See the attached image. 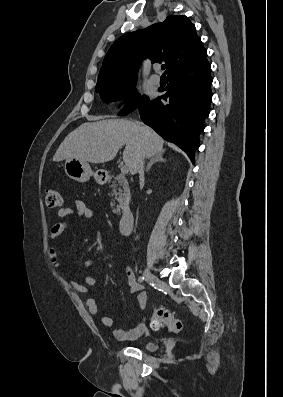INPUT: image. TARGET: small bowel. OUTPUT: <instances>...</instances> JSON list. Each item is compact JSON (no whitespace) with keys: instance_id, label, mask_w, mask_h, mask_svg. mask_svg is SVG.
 <instances>
[{"instance_id":"1","label":"small bowel","mask_w":283,"mask_h":397,"mask_svg":"<svg viewBox=\"0 0 283 397\" xmlns=\"http://www.w3.org/2000/svg\"><path fill=\"white\" fill-rule=\"evenodd\" d=\"M60 220L56 222L50 231V238L56 239L61 236L66 228L71 223V217H84L87 219H93L95 213L90 209L86 203L80 199H75L73 205L69 207H61L56 212ZM48 258L51 265L60 270L61 269V255L57 248L50 247L48 249ZM94 264L93 260L86 259L83 262L85 268H90ZM124 272L127 279V285L130 293L137 294L138 309L144 310L147 305V293L143 291V286L136 281L135 273L129 266L124 268ZM98 283V279L93 276L84 277L82 282L70 281L71 286L78 292L87 294L89 293V287L95 286ZM86 308L92 316H97L100 322L106 327H112L114 320L106 315H101L98 303L95 298L88 297L85 301ZM146 331V319L143 318L142 322L131 328L130 330H124L121 328H115L113 330L114 337L119 341H133L141 337Z\"/></svg>"}]
</instances>
